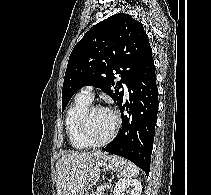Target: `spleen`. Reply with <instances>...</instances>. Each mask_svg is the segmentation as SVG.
<instances>
[{
  "label": "spleen",
  "instance_id": "3e777b00",
  "mask_svg": "<svg viewBox=\"0 0 211 195\" xmlns=\"http://www.w3.org/2000/svg\"><path fill=\"white\" fill-rule=\"evenodd\" d=\"M139 174V168L131 162H127L125 169L122 172V175L125 177H136Z\"/></svg>",
  "mask_w": 211,
  "mask_h": 195
}]
</instances>
